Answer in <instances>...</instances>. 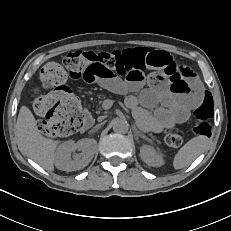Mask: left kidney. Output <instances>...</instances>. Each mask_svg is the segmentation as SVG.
<instances>
[{"mask_svg": "<svg viewBox=\"0 0 231 231\" xmlns=\"http://www.w3.org/2000/svg\"><path fill=\"white\" fill-rule=\"evenodd\" d=\"M140 156L148 166L159 167L163 163L161 155L150 145H143L141 147Z\"/></svg>", "mask_w": 231, "mask_h": 231, "instance_id": "1", "label": "left kidney"}]
</instances>
